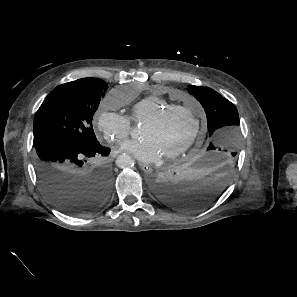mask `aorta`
Returning a JSON list of instances; mask_svg holds the SVG:
<instances>
[{"mask_svg":"<svg viewBox=\"0 0 297 297\" xmlns=\"http://www.w3.org/2000/svg\"><path fill=\"white\" fill-rule=\"evenodd\" d=\"M134 136V133L132 134ZM116 164L120 168L131 167L134 164L133 159L127 154H121L116 160Z\"/></svg>","mask_w":297,"mask_h":297,"instance_id":"1","label":"aorta"}]
</instances>
